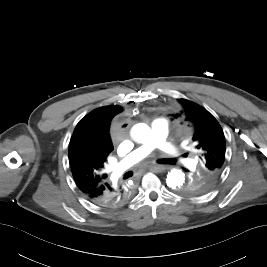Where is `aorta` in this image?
Returning <instances> with one entry per match:
<instances>
[{
    "mask_svg": "<svg viewBox=\"0 0 267 267\" xmlns=\"http://www.w3.org/2000/svg\"><path fill=\"white\" fill-rule=\"evenodd\" d=\"M131 136L139 143H147L151 136V130L148 125L144 123L135 124L131 129ZM185 182V174L179 169H172L167 174V186L172 189L181 188Z\"/></svg>",
    "mask_w": 267,
    "mask_h": 267,
    "instance_id": "1",
    "label": "aorta"
}]
</instances>
